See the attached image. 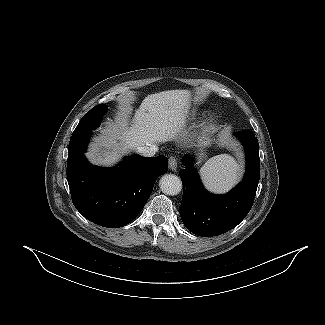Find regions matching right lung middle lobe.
<instances>
[{
    "label": "right lung middle lobe",
    "mask_w": 325,
    "mask_h": 325,
    "mask_svg": "<svg viewBox=\"0 0 325 325\" xmlns=\"http://www.w3.org/2000/svg\"><path fill=\"white\" fill-rule=\"evenodd\" d=\"M106 110L107 106L105 104H99L93 107L88 113H86L82 117L81 122L78 124L74 132L80 134L92 131L100 124L101 118L106 112Z\"/></svg>",
    "instance_id": "dd1d6c3e"
}]
</instances>
